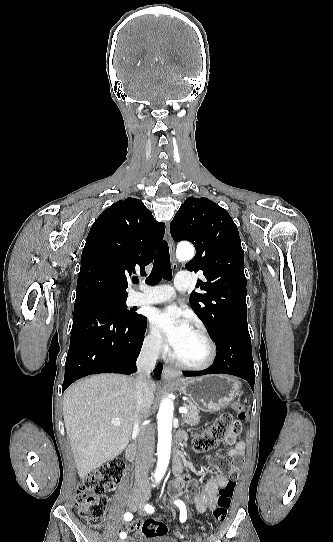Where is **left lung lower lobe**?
I'll list each match as a JSON object with an SVG mask.
<instances>
[{"mask_svg": "<svg viewBox=\"0 0 333 542\" xmlns=\"http://www.w3.org/2000/svg\"><path fill=\"white\" fill-rule=\"evenodd\" d=\"M216 343V358L208 369L199 372H184L185 376L224 373L245 379L252 389L255 370L252 357L251 338L248 325H232L221 333Z\"/></svg>", "mask_w": 333, "mask_h": 542, "instance_id": "0a47b994", "label": "left lung lower lobe"}]
</instances>
